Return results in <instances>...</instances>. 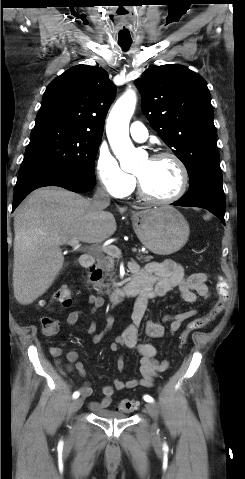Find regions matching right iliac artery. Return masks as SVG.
<instances>
[{
  "label": "right iliac artery",
  "instance_id": "obj_1",
  "mask_svg": "<svg viewBox=\"0 0 245 479\" xmlns=\"http://www.w3.org/2000/svg\"><path fill=\"white\" fill-rule=\"evenodd\" d=\"M79 395H80V393L78 391H76V392L73 393V398L76 399V398L79 397Z\"/></svg>",
  "mask_w": 245,
  "mask_h": 479
}]
</instances>
